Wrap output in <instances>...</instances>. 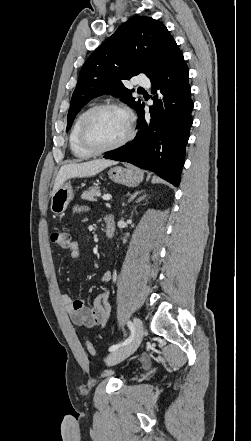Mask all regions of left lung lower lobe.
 Here are the masks:
<instances>
[{
    "label": "left lung lower lobe",
    "instance_id": "left-lung-lower-lobe-1",
    "mask_svg": "<svg viewBox=\"0 0 251 441\" xmlns=\"http://www.w3.org/2000/svg\"><path fill=\"white\" fill-rule=\"evenodd\" d=\"M188 75L187 64L176 44L161 68L150 77L154 101L149 107L151 119H145V104L141 103L136 110V137L104 158L151 170L178 186L193 122L191 111L194 104Z\"/></svg>",
    "mask_w": 251,
    "mask_h": 441
}]
</instances>
